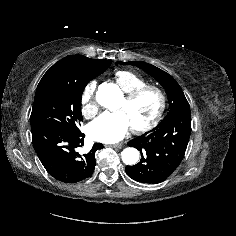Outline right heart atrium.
Masks as SVG:
<instances>
[{
  "mask_svg": "<svg viewBox=\"0 0 236 236\" xmlns=\"http://www.w3.org/2000/svg\"><path fill=\"white\" fill-rule=\"evenodd\" d=\"M96 82H90L83 90L81 96L82 113L86 118L94 117L98 112V104L95 100Z\"/></svg>",
  "mask_w": 236,
  "mask_h": 236,
  "instance_id": "right-heart-atrium-1",
  "label": "right heart atrium"
}]
</instances>
